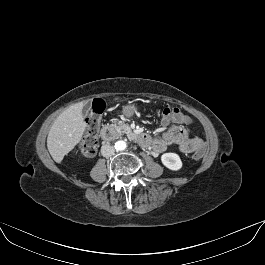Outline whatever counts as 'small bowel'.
I'll return each mask as SVG.
<instances>
[{
	"instance_id": "small-bowel-1",
	"label": "small bowel",
	"mask_w": 265,
	"mask_h": 265,
	"mask_svg": "<svg viewBox=\"0 0 265 265\" xmlns=\"http://www.w3.org/2000/svg\"><path fill=\"white\" fill-rule=\"evenodd\" d=\"M162 125L177 123L161 136L151 141V146L156 152H163L170 145H176L183 153H193L204 149V142L198 137H192L188 128L173 118L163 117Z\"/></svg>"
}]
</instances>
